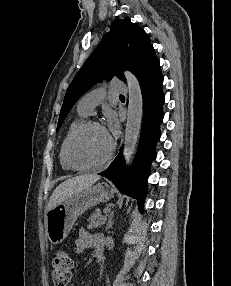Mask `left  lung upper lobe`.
Returning a JSON list of instances; mask_svg holds the SVG:
<instances>
[{"mask_svg":"<svg viewBox=\"0 0 231 286\" xmlns=\"http://www.w3.org/2000/svg\"><path fill=\"white\" fill-rule=\"evenodd\" d=\"M157 59L147 33L129 17L116 20L98 47L78 71L66 92L61 108L57 131L78 98L102 79L117 76L122 81L123 70H130L136 77Z\"/></svg>","mask_w":231,"mask_h":286,"instance_id":"left-lung-upper-lobe-1","label":"left lung upper lobe"}]
</instances>
